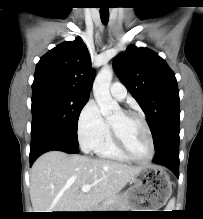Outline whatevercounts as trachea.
<instances>
[{
	"instance_id": "1",
	"label": "trachea",
	"mask_w": 203,
	"mask_h": 219,
	"mask_svg": "<svg viewBox=\"0 0 203 219\" xmlns=\"http://www.w3.org/2000/svg\"><path fill=\"white\" fill-rule=\"evenodd\" d=\"M100 17L104 24L108 22L109 19V11H100Z\"/></svg>"
}]
</instances>
